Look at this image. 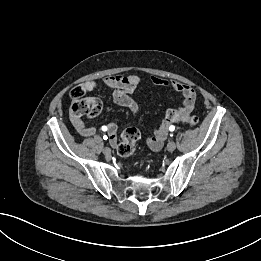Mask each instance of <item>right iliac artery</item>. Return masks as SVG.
I'll return each instance as SVG.
<instances>
[{
  "label": "right iliac artery",
  "instance_id": "right-iliac-artery-1",
  "mask_svg": "<svg viewBox=\"0 0 261 261\" xmlns=\"http://www.w3.org/2000/svg\"><path fill=\"white\" fill-rule=\"evenodd\" d=\"M102 130H103V131H106V130H107V127H106V126H102ZM103 139H104V140H107L108 137H107L106 135H104V136H103Z\"/></svg>",
  "mask_w": 261,
  "mask_h": 261
}]
</instances>
